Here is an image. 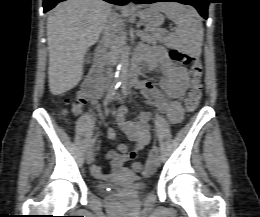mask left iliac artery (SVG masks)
Wrapping results in <instances>:
<instances>
[{
  "mask_svg": "<svg viewBox=\"0 0 260 217\" xmlns=\"http://www.w3.org/2000/svg\"><path fill=\"white\" fill-rule=\"evenodd\" d=\"M122 92L125 96H128L129 92H128V84L126 82L122 83ZM153 151L156 153H159V148L158 146L154 145L153 146Z\"/></svg>",
  "mask_w": 260,
  "mask_h": 217,
  "instance_id": "1",
  "label": "left iliac artery"
}]
</instances>
